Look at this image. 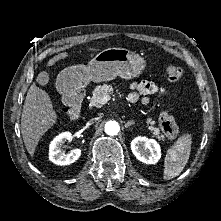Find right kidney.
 Wrapping results in <instances>:
<instances>
[{
    "label": "right kidney",
    "instance_id": "ca27d5eb",
    "mask_svg": "<svg viewBox=\"0 0 221 221\" xmlns=\"http://www.w3.org/2000/svg\"><path fill=\"white\" fill-rule=\"evenodd\" d=\"M71 140L72 134L70 132H63L56 136L49 146V160L57 165H69L78 160L81 155V149L71 150L67 154L61 150L63 143Z\"/></svg>",
    "mask_w": 221,
    "mask_h": 221
}]
</instances>
